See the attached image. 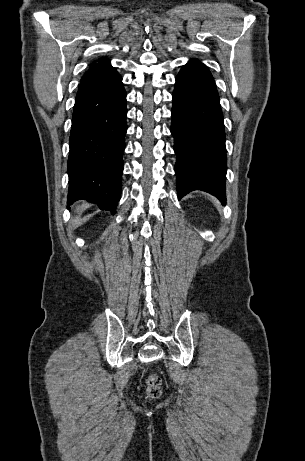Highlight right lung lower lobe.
<instances>
[{
  "label": "right lung lower lobe",
  "instance_id": "obj_1",
  "mask_svg": "<svg viewBox=\"0 0 305 461\" xmlns=\"http://www.w3.org/2000/svg\"><path fill=\"white\" fill-rule=\"evenodd\" d=\"M126 116V92L117 72L80 83L70 132L69 204L85 199L116 213Z\"/></svg>",
  "mask_w": 305,
  "mask_h": 461
}]
</instances>
